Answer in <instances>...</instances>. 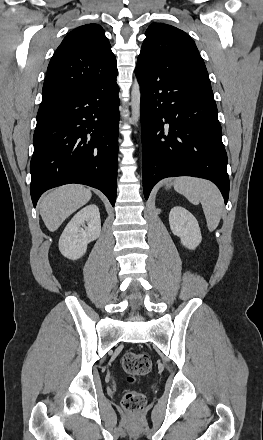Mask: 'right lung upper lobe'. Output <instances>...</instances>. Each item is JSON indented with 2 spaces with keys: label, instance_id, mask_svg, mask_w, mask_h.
<instances>
[{
  "label": "right lung upper lobe",
  "instance_id": "cb5924a9",
  "mask_svg": "<svg viewBox=\"0 0 263 440\" xmlns=\"http://www.w3.org/2000/svg\"><path fill=\"white\" fill-rule=\"evenodd\" d=\"M117 74L116 58L103 28L98 24L80 26L64 38L50 60L41 105Z\"/></svg>",
  "mask_w": 263,
  "mask_h": 440
}]
</instances>
